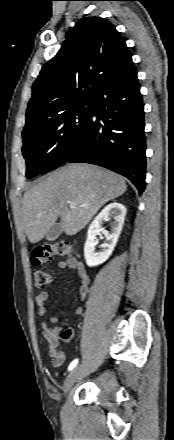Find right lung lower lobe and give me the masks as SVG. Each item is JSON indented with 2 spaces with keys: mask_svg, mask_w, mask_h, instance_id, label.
<instances>
[{
  "mask_svg": "<svg viewBox=\"0 0 174 440\" xmlns=\"http://www.w3.org/2000/svg\"><path fill=\"white\" fill-rule=\"evenodd\" d=\"M90 102L86 130L72 145L65 163L84 162L110 169L127 177L141 194L145 189L146 138L134 63L105 79Z\"/></svg>",
  "mask_w": 174,
  "mask_h": 440,
  "instance_id": "98d812e1",
  "label": "right lung lower lobe"
}]
</instances>
